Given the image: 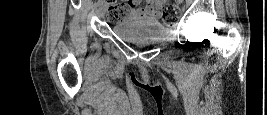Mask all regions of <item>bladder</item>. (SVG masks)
I'll return each mask as SVG.
<instances>
[{
  "instance_id": "1",
  "label": "bladder",
  "mask_w": 267,
  "mask_h": 115,
  "mask_svg": "<svg viewBox=\"0 0 267 115\" xmlns=\"http://www.w3.org/2000/svg\"><path fill=\"white\" fill-rule=\"evenodd\" d=\"M113 32L120 39L132 43L159 41L169 35L168 30L157 21L138 17L115 24Z\"/></svg>"
}]
</instances>
